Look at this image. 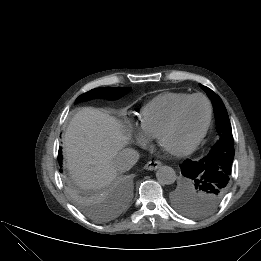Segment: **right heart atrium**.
Segmentation results:
<instances>
[{
	"mask_svg": "<svg viewBox=\"0 0 261 261\" xmlns=\"http://www.w3.org/2000/svg\"><path fill=\"white\" fill-rule=\"evenodd\" d=\"M135 140L142 147H147L151 142V138L144 135L141 131H136Z\"/></svg>",
	"mask_w": 261,
	"mask_h": 261,
	"instance_id": "d8ad5b80",
	"label": "right heart atrium"
}]
</instances>
